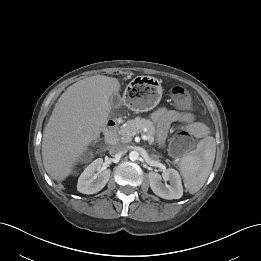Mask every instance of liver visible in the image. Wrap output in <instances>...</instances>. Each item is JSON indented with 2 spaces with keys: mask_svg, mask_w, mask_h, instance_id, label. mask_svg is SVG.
<instances>
[{
  "mask_svg": "<svg viewBox=\"0 0 261 261\" xmlns=\"http://www.w3.org/2000/svg\"><path fill=\"white\" fill-rule=\"evenodd\" d=\"M120 87L116 78L96 75L74 83L60 96L42 141L43 164L54 180L66 179L88 145L100 137L111 111L110 97Z\"/></svg>",
  "mask_w": 261,
  "mask_h": 261,
  "instance_id": "6515ba94",
  "label": "liver"
}]
</instances>
